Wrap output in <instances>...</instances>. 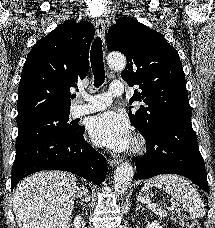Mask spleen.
<instances>
[{
    "instance_id": "1",
    "label": "spleen",
    "mask_w": 215,
    "mask_h": 228,
    "mask_svg": "<svg viewBox=\"0 0 215 228\" xmlns=\"http://www.w3.org/2000/svg\"><path fill=\"white\" fill-rule=\"evenodd\" d=\"M162 188L166 194L175 198L177 202L186 206L187 212H189L191 218H203L205 216V206L196 190L192 188L191 184L176 176V174H162V176H155L151 180H147L143 192L149 190V188Z\"/></svg>"
}]
</instances>
